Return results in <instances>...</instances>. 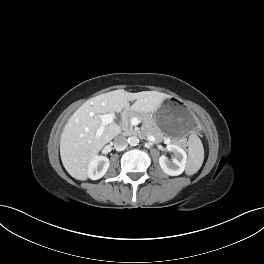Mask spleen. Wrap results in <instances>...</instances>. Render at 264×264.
I'll return each mask as SVG.
<instances>
[{
  "label": "spleen",
  "instance_id": "obj_1",
  "mask_svg": "<svg viewBox=\"0 0 264 264\" xmlns=\"http://www.w3.org/2000/svg\"><path fill=\"white\" fill-rule=\"evenodd\" d=\"M204 160V148L201 140L196 134L189 137V159L186 167L187 175L195 174Z\"/></svg>",
  "mask_w": 264,
  "mask_h": 264
}]
</instances>
